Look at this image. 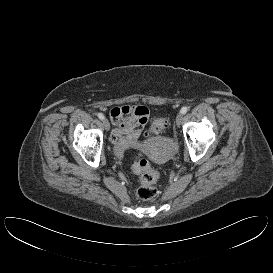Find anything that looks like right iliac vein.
<instances>
[{
    "label": "right iliac vein",
    "mask_w": 273,
    "mask_h": 273,
    "mask_svg": "<svg viewBox=\"0 0 273 273\" xmlns=\"http://www.w3.org/2000/svg\"><path fill=\"white\" fill-rule=\"evenodd\" d=\"M103 125L106 131H109L110 129V123L107 119H103Z\"/></svg>",
    "instance_id": "obj_1"
}]
</instances>
